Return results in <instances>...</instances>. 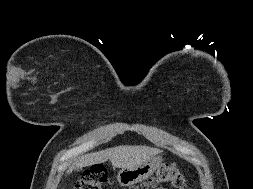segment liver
Here are the masks:
<instances>
[{
	"instance_id": "1",
	"label": "liver",
	"mask_w": 253,
	"mask_h": 189,
	"mask_svg": "<svg viewBox=\"0 0 253 189\" xmlns=\"http://www.w3.org/2000/svg\"><path fill=\"white\" fill-rule=\"evenodd\" d=\"M160 150L142 145H122L106 150L89 153L75 160L67 173H71L76 167H87L106 162L108 159L116 168H133L154 158Z\"/></svg>"
}]
</instances>
